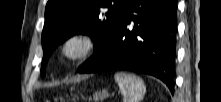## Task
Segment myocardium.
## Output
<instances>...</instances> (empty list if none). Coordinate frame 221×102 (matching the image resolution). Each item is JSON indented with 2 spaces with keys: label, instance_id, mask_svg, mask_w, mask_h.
I'll return each instance as SVG.
<instances>
[{
  "label": "myocardium",
  "instance_id": "myocardium-1",
  "mask_svg": "<svg viewBox=\"0 0 221 102\" xmlns=\"http://www.w3.org/2000/svg\"><path fill=\"white\" fill-rule=\"evenodd\" d=\"M98 48L97 37L87 30H78L68 35L62 43L63 57L71 63L88 59Z\"/></svg>",
  "mask_w": 221,
  "mask_h": 102
}]
</instances>
